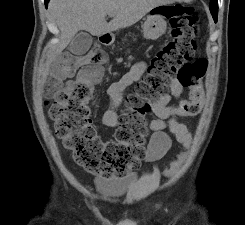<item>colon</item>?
I'll return each instance as SVG.
<instances>
[{"mask_svg":"<svg viewBox=\"0 0 245 225\" xmlns=\"http://www.w3.org/2000/svg\"><path fill=\"white\" fill-rule=\"evenodd\" d=\"M168 12L172 40L152 58L146 73L135 83L134 93L128 97L126 114L119 119L115 142L103 147L91 123L93 88L87 80L98 77L100 72L75 77L79 57L66 56L48 83L47 91L55 97L49 114L56 136L71 152L73 160L89 173L105 178L123 177L137 165V160L145 154L149 134L145 117L150 110L146 103L156 102L165 95L173 79L190 90L189 98L179 103L178 115L195 116L203 107L202 79L207 64L194 59L200 32L199 14L193 7L184 5L171 6ZM106 62L107 53L100 49L90 50L84 60L95 67ZM185 140L187 148L191 138L185 136ZM185 156L186 153L181 152L170 163L168 175L178 173Z\"/></svg>","mask_w":245,"mask_h":225,"instance_id":"obj_1","label":"colon"}]
</instances>
